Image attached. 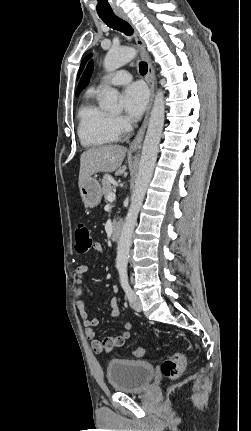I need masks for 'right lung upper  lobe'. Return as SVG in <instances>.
<instances>
[{
  "mask_svg": "<svg viewBox=\"0 0 251 431\" xmlns=\"http://www.w3.org/2000/svg\"><path fill=\"white\" fill-rule=\"evenodd\" d=\"M92 71H93V61H90L84 74L82 75L81 80L79 82V85L77 87L76 97L80 94V92L84 89V87L89 83Z\"/></svg>",
  "mask_w": 251,
  "mask_h": 431,
  "instance_id": "obj_1",
  "label": "right lung upper lobe"
}]
</instances>
